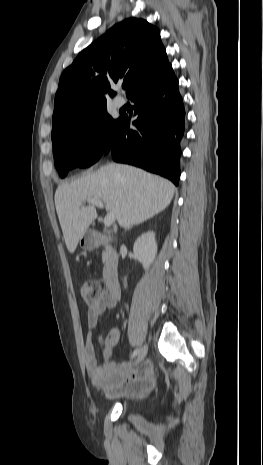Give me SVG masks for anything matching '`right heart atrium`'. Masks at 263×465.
<instances>
[{"label": "right heart atrium", "mask_w": 263, "mask_h": 465, "mask_svg": "<svg viewBox=\"0 0 263 465\" xmlns=\"http://www.w3.org/2000/svg\"><path fill=\"white\" fill-rule=\"evenodd\" d=\"M82 144L84 151L95 156L103 151L107 144L105 132L98 126H91L85 130L82 136Z\"/></svg>", "instance_id": "1"}]
</instances>
